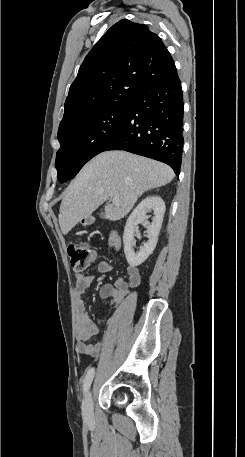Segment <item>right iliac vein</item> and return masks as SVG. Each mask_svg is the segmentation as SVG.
Returning <instances> with one entry per match:
<instances>
[{
	"mask_svg": "<svg viewBox=\"0 0 245 457\" xmlns=\"http://www.w3.org/2000/svg\"><path fill=\"white\" fill-rule=\"evenodd\" d=\"M92 402H93L92 393H91V391H89L86 394L85 399H84L83 404H82L83 419L87 423H91L94 420Z\"/></svg>",
	"mask_w": 245,
	"mask_h": 457,
	"instance_id": "obj_1",
	"label": "right iliac vein"
}]
</instances>
